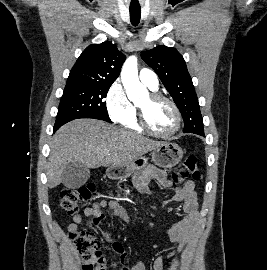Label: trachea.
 <instances>
[{
  "mask_svg": "<svg viewBox=\"0 0 267 270\" xmlns=\"http://www.w3.org/2000/svg\"><path fill=\"white\" fill-rule=\"evenodd\" d=\"M141 8L130 7V21L133 26H137L140 22Z\"/></svg>",
  "mask_w": 267,
  "mask_h": 270,
  "instance_id": "trachea-1",
  "label": "trachea"
}]
</instances>
